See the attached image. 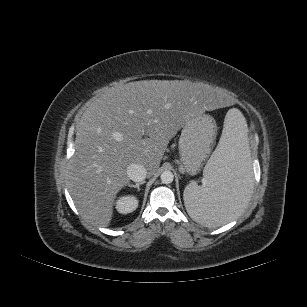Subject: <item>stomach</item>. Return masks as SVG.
I'll return each mask as SVG.
<instances>
[{"label": "stomach", "instance_id": "0dacf381", "mask_svg": "<svg viewBox=\"0 0 307 307\" xmlns=\"http://www.w3.org/2000/svg\"><path fill=\"white\" fill-rule=\"evenodd\" d=\"M216 123L208 114H198L191 117L183 125L179 139V154L181 163L189 175H196L209 157Z\"/></svg>", "mask_w": 307, "mask_h": 307}]
</instances>
